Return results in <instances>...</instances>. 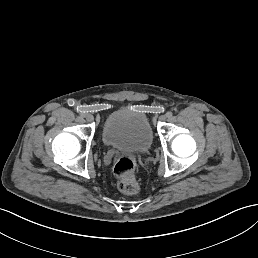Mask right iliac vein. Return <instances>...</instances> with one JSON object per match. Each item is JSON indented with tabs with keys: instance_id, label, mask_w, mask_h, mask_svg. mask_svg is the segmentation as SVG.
I'll use <instances>...</instances> for the list:
<instances>
[{
	"instance_id": "1",
	"label": "right iliac vein",
	"mask_w": 258,
	"mask_h": 258,
	"mask_svg": "<svg viewBox=\"0 0 258 258\" xmlns=\"http://www.w3.org/2000/svg\"><path fill=\"white\" fill-rule=\"evenodd\" d=\"M85 119H86L87 122L90 123V122L93 121L94 118H93V116L91 114H86V118Z\"/></svg>"
}]
</instances>
